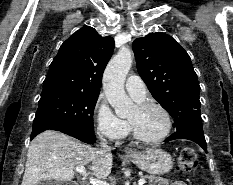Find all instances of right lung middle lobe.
I'll return each instance as SVG.
<instances>
[{
	"mask_svg": "<svg viewBox=\"0 0 233 185\" xmlns=\"http://www.w3.org/2000/svg\"><path fill=\"white\" fill-rule=\"evenodd\" d=\"M98 96L99 93L42 91L31 139L47 129L94 133L93 112Z\"/></svg>",
	"mask_w": 233,
	"mask_h": 185,
	"instance_id": "right-lung-middle-lobe-1",
	"label": "right lung middle lobe"
}]
</instances>
